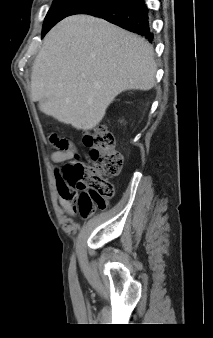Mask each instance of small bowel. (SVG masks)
Masks as SVG:
<instances>
[{
  "label": "small bowel",
  "instance_id": "small-bowel-1",
  "mask_svg": "<svg viewBox=\"0 0 213 338\" xmlns=\"http://www.w3.org/2000/svg\"><path fill=\"white\" fill-rule=\"evenodd\" d=\"M49 141L55 145H59L61 143L55 134H50ZM73 153V150L60 151L57 149L52 153V158L56 161L69 159L73 156ZM59 202L68 213H72L75 208L80 210L82 205L88 203V201H85L82 196H72L65 188L59 193Z\"/></svg>",
  "mask_w": 213,
  "mask_h": 338
}]
</instances>
